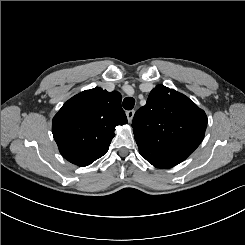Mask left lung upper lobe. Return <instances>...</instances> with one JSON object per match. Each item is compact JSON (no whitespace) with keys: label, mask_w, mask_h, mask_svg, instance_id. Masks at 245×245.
Segmentation results:
<instances>
[{"label":"left lung upper lobe","mask_w":245,"mask_h":245,"mask_svg":"<svg viewBox=\"0 0 245 245\" xmlns=\"http://www.w3.org/2000/svg\"><path fill=\"white\" fill-rule=\"evenodd\" d=\"M132 127L146 160L164 154L184 161L202 142L207 116L187 96L157 85L135 113Z\"/></svg>","instance_id":"left-lung-upper-lobe-1"}]
</instances>
